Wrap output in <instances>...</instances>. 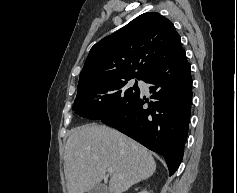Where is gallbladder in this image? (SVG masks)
Here are the masks:
<instances>
[{
    "label": "gallbladder",
    "instance_id": "obj_1",
    "mask_svg": "<svg viewBox=\"0 0 237 193\" xmlns=\"http://www.w3.org/2000/svg\"><path fill=\"white\" fill-rule=\"evenodd\" d=\"M88 193H109V191L106 185L99 183L91 188Z\"/></svg>",
    "mask_w": 237,
    "mask_h": 193
}]
</instances>
